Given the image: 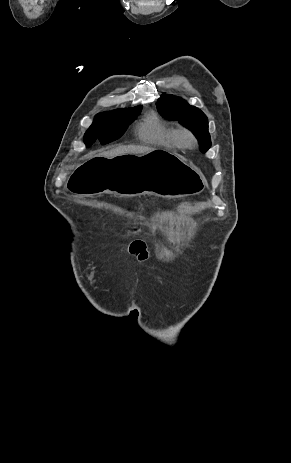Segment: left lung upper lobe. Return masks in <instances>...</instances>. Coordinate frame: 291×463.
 Masks as SVG:
<instances>
[{
    "label": "left lung upper lobe",
    "mask_w": 291,
    "mask_h": 463,
    "mask_svg": "<svg viewBox=\"0 0 291 463\" xmlns=\"http://www.w3.org/2000/svg\"><path fill=\"white\" fill-rule=\"evenodd\" d=\"M156 106L164 118L172 121L177 120L190 129L197 137L202 152L209 149L211 140L208 132V120L200 109L189 105L179 97L166 94L161 95Z\"/></svg>",
    "instance_id": "1"
}]
</instances>
